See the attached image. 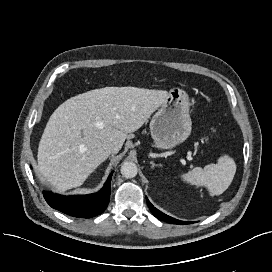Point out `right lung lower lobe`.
Instances as JSON below:
<instances>
[{
    "label": "right lung lower lobe",
    "instance_id": "1",
    "mask_svg": "<svg viewBox=\"0 0 272 272\" xmlns=\"http://www.w3.org/2000/svg\"><path fill=\"white\" fill-rule=\"evenodd\" d=\"M109 175L104 187L97 193L88 195L61 196L50 191H44L47 203L67 215L80 218H90L101 214L107 208L110 200L111 179Z\"/></svg>",
    "mask_w": 272,
    "mask_h": 272
}]
</instances>
